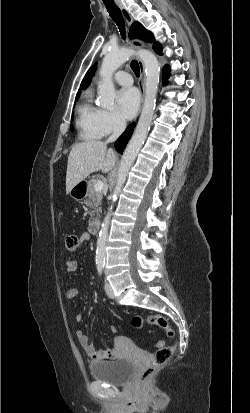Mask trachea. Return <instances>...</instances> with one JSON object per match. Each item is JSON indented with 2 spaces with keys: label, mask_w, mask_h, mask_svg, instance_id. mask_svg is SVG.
Wrapping results in <instances>:
<instances>
[{
  "label": "trachea",
  "mask_w": 250,
  "mask_h": 413,
  "mask_svg": "<svg viewBox=\"0 0 250 413\" xmlns=\"http://www.w3.org/2000/svg\"><path fill=\"white\" fill-rule=\"evenodd\" d=\"M104 4H105L106 9L109 12L110 16L112 17V19L114 20V22L118 26L122 38L125 39L126 38V36H125V24H124V19H123V16L121 14L120 9L116 6L115 3H105L104 2ZM131 68L134 71L135 75L137 77H139L140 67H139V64L136 60L131 61Z\"/></svg>",
  "instance_id": "trachea-1"
}]
</instances>
